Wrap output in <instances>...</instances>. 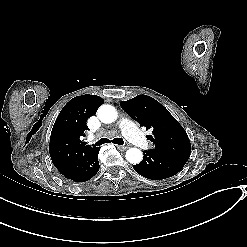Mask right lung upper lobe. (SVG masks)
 <instances>
[{"instance_id": "1", "label": "right lung upper lobe", "mask_w": 247, "mask_h": 247, "mask_svg": "<svg viewBox=\"0 0 247 247\" xmlns=\"http://www.w3.org/2000/svg\"><path fill=\"white\" fill-rule=\"evenodd\" d=\"M104 102L99 96L85 94L71 99L59 113L52 128L49 153L54 166L63 174L79 163L95 146L84 145L80 137L88 129L87 119Z\"/></svg>"}]
</instances>
